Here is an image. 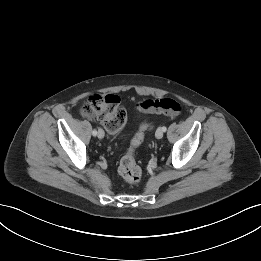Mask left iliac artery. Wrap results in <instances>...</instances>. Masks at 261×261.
Wrapping results in <instances>:
<instances>
[{"label": "left iliac artery", "instance_id": "1", "mask_svg": "<svg viewBox=\"0 0 261 261\" xmlns=\"http://www.w3.org/2000/svg\"><path fill=\"white\" fill-rule=\"evenodd\" d=\"M162 129H163V131H164V132L167 130V128H166V127H164V126L162 127Z\"/></svg>", "mask_w": 261, "mask_h": 261}]
</instances>
